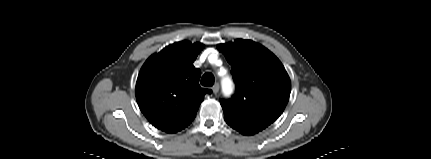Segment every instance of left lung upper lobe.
Segmentation results:
<instances>
[{
	"instance_id": "5c2ea615",
	"label": "left lung upper lobe",
	"mask_w": 431,
	"mask_h": 159,
	"mask_svg": "<svg viewBox=\"0 0 431 159\" xmlns=\"http://www.w3.org/2000/svg\"><path fill=\"white\" fill-rule=\"evenodd\" d=\"M217 48L232 67L236 94L222 103L225 121L240 133H258L284 111L290 78L279 59L251 40L238 39Z\"/></svg>"
}]
</instances>
